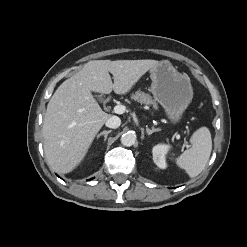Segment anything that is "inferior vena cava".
Returning <instances> with one entry per match:
<instances>
[{"label": "inferior vena cava", "instance_id": "inferior-vena-cava-1", "mask_svg": "<svg viewBox=\"0 0 247 247\" xmlns=\"http://www.w3.org/2000/svg\"><path fill=\"white\" fill-rule=\"evenodd\" d=\"M120 124H121V120L117 116H110L106 121V126L113 129L118 128Z\"/></svg>", "mask_w": 247, "mask_h": 247}]
</instances>
